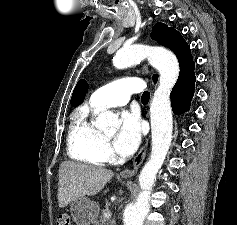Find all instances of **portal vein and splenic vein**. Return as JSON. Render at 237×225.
Wrapping results in <instances>:
<instances>
[{"mask_svg": "<svg viewBox=\"0 0 237 225\" xmlns=\"http://www.w3.org/2000/svg\"><path fill=\"white\" fill-rule=\"evenodd\" d=\"M103 215H104V217H106V218H110V217H111V212H110V210L106 209V210L104 211Z\"/></svg>", "mask_w": 237, "mask_h": 225, "instance_id": "obj_1", "label": "portal vein and splenic vein"}]
</instances>
